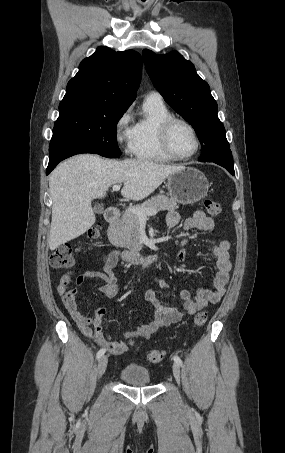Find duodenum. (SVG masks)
<instances>
[{"label": "duodenum", "instance_id": "1", "mask_svg": "<svg viewBox=\"0 0 285 453\" xmlns=\"http://www.w3.org/2000/svg\"><path fill=\"white\" fill-rule=\"evenodd\" d=\"M119 217L120 212L116 207H109L106 209L105 220L111 227H114L117 224ZM108 239L110 244L116 249L121 259L124 261L134 263L141 267H149L158 262L160 259L159 254L143 255L138 252L123 249L113 232L109 233Z\"/></svg>", "mask_w": 285, "mask_h": 453}]
</instances>
